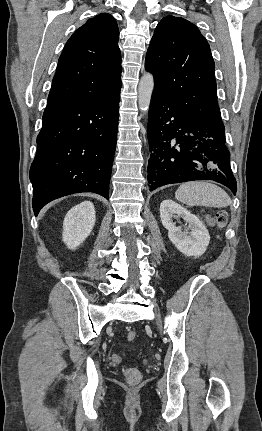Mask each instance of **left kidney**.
<instances>
[{"label": "left kidney", "instance_id": "obj_1", "mask_svg": "<svg viewBox=\"0 0 262 431\" xmlns=\"http://www.w3.org/2000/svg\"><path fill=\"white\" fill-rule=\"evenodd\" d=\"M160 218L163 226L168 230V237L172 244L184 255L200 257L209 245L210 235L201 220L188 210L172 200H164L160 205ZM182 218L188 223V228L182 231L173 219Z\"/></svg>", "mask_w": 262, "mask_h": 431}]
</instances>
